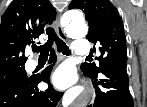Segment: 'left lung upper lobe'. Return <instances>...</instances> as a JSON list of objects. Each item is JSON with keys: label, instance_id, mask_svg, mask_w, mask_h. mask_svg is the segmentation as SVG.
<instances>
[{"label": "left lung upper lobe", "instance_id": "left-lung-upper-lobe-1", "mask_svg": "<svg viewBox=\"0 0 147 107\" xmlns=\"http://www.w3.org/2000/svg\"><path fill=\"white\" fill-rule=\"evenodd\" d=\"M69 9H81L85 13L89 23L86 38L101 51L97 58L99 64L84 63L83 71L98 75L111 63H127L124 26L118 10L109 0H72Z\"/></svg>", "mask_w": 147, "mask_h": 107}]
</instances>
